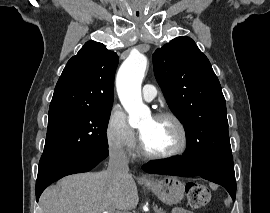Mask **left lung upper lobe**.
<instances>
[{
  "label": "left lung upper lobe",
  "instance_id": "obj_1",
  "mask_svg": "<svg viewBox=\"0 0 270 213\" xmlns=\"http://www.w3.org/2000/svg\"><path fill=\"white\" fill-rule=\"evenodd\" d=\"M155 77L187 142L204 164L232 162L226 103L207 57L185 36L153 54Z\"/></svg>",
  "mask_w": 270,
  "mask_h": 213
}]
</instances>
